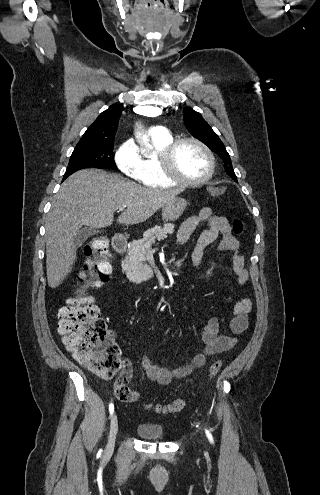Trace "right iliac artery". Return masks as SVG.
<instances>
[{
	"mask_svg": "<svg viewBox=\"0 0 320 495\" xmlns=\"http://www.w3.org/2000/svg\"><path fill=\"white\" fill-rule=\"evenodd\" d=\"M109 411H110V414L112 415L113 411H114V406L112 403H110V405H109Z\"/></svg>",
	"mask_w": 320,
	"mask_h": 495,
	"instance_id": "82829eb1",
	"label": "right iliac artery"
}]
</instances>
